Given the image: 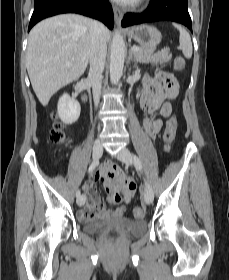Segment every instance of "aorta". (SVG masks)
Listing matches in <instances>:
<instances>
[{"instance_id":"aorta-1","label":"aorta","mask_w":229,"mask_h":280,"mask_svg":"<svg viewBox=\"0 0 229 280\" xmlns=\"http://www.w3.org/2000/svg\"><path fill=\"white\" fill-rule=\"evenodd\" d=\"M125 59V43L120 32L116 31L112 40L110 55V81L112 84L120 80Z\"/></svg>"}]
</instances>
